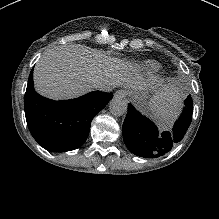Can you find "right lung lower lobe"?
I'll return each mask as SVG.
<instances>
[{"mask_svg":"<svg viewBox=\"0 0 219 219\" xmlns=\"http://www.w3.org/2000/svg\"><path fill=\"white\" fill-rule=\"evenodd\" d=\"M111 98L112 93L93 91L73 100H50L36 93L31 72L24 100L27 125L45 149L73 150L85 142L92 119Z\"/></svg>","mask_w":219,"mask_h":219,"instance_id":"obj_1","label":"right lung lower lobe"}]
</instances>
